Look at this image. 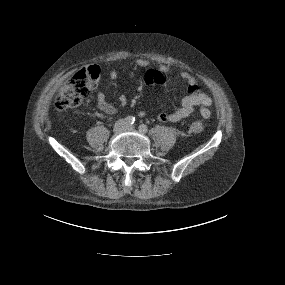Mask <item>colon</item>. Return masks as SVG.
Instances as JSON below:
<instances>
[{
  "mask_svg": "<svg viewBox=\"0 0 285 285\" xmlns=\"http://www.w3.org/2000/svg\"><path fill=\"white\" fill-rule=\"evenodd\" d=\"M101 70L97 65L85 66L76 72L60 89L54 105L58 110L77 107L95 89ZM203 125L192 122L187 126L188 133H200Z\"/></svg>",
  "mask_w": 285,
  "mask_h": 285,
  "instance_id": "1",
  "label": "colon"
}]
</instances>
